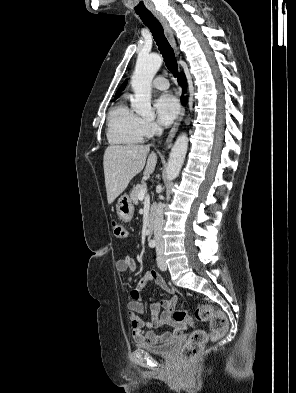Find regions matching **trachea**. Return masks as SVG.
Wrapping results in <instances>:
<instances>
[{
	"mask_svg": "<svg viewBox=\"0 0 296 393\" xmlns=\"http://www.w3.org/2000/svg\"><path fill=\"white\" fill-rule=\"evenodd\" d=\"M143 23L152 32L153 38L164 58L167 69L176 77L178 75V65L174 51L166 39L161 23L153 16L150 11L137 13Z\"/></svg>",
	"mask_w": 296,
	"mask_h": 393,
	"instance_id": "3493384b",
	"label": "trachea"
}]
</instances>
